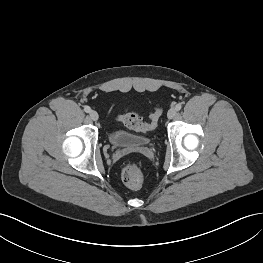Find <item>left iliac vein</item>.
<instances>
[{"instance_id":"left-iliac-vein-1","label":"left iliac vein","mask_w":263,"mask_h":263,"mask_svg":"<svg viewBox=\"0 0 263 263\" xmlns=\"http://www.w3.org/2000/svg\"><path fill=\"white\" fill-rule=\"evenodd\" d=\"M176 114H177L176 109H175V108H171V109L168 111V113H167V117H168L169 119H172V118H174V117L176 116Z\"/></svg>"}]
</instances>
